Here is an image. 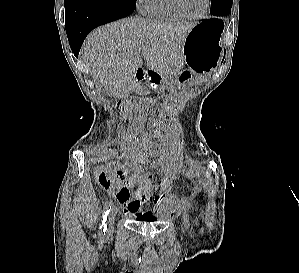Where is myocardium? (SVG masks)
<instances>
[{
	"label": "myocardium",
	"instance_id": "obj_1",
	"mask_svg": "<svg viewBox=\"0 0 299 273\" xmlns=\"http://www.w3.org/2000/svg\"><path fill=\"white\" fill-rule=\"evenodd\" d=\"M176 10L182 14L185 18H188V19H191V20H199V19H202L208 12L209 10V7H210V0H205V8L203 10V12L200 14V15H197V16H193V15H190L188 14L182 4H181V1L180 0H172Z\"/></svg>",
	"mask_w": 299,
	"mask_h": 273
}]
</instances>
